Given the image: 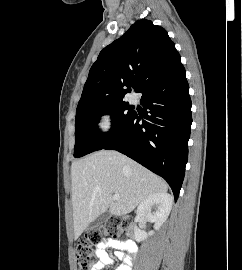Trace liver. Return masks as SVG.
Segmentation results:
<instances>
[{"mask_svg": "<svg viewBox=\"0 0 242 270\" xmlns=\"http://www.w3.org/2000/svg\"><path fill=\"white\" fill-rule=\"evenodd\" d=\"M74 238L101 213L122 216L133 211L146 197L166 193L167 183L127 156L101 150L71 166ZM113 194H119L115 200Z\"/></svg>", "mask_w": 242, "mask_h": 270, "instance_id": "obj_1", "label": "liver"}]
</instances>
